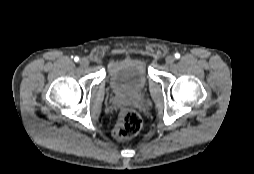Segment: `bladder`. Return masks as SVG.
<instances>
[{
    "instance_id": "bladder-1",
    "label": "bladder",
    "mask_w": 254,
    "mask_h": 174,
    "mask_svg": "<svg viewBox=\"0 0 254 174\" xmlns=\"http://www.w3.org/2000/svg\"><path fill=\"white\" fill-rule=\"evenodd\" d=\"M109 81L119 93L136 94L148 83L146 61L143 58H123L109 65Z\"/></svg>"
}]
</instances>
